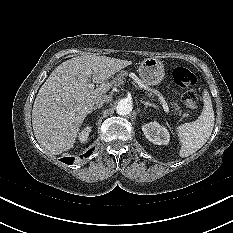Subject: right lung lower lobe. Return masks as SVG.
Returning a JSON list of instances; mask_svg holds the SVG:
<instances>
[{
    "instance_id": "right-lung-lower-lobe-1",
    "label": "right lung lower lobe",
    "mask_w": 233,
    "mask_h": 233,
    "mask_svg": "<svg viewBox=\"0 0 233 233\" xmlns=\"http://www.w3.org/2000/svg\"><path fill=\"white\" fill-rule=\"evenodd\" d=\"M91 153H92V150H89L87 153H85L83 156L85 157V158H87L89 155H91ZM73 160H74V158H71V157H64V158H62V159H60V161H62L63 163H66V164H71V163H73Z\"/></svg>"
}]
</instances>
